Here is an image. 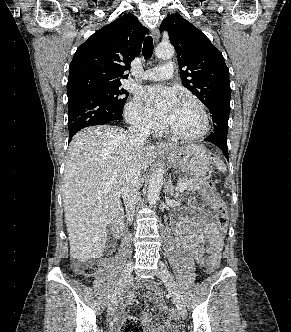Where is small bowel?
<instances>
[{
	"label": "small bowel",
	"mask_w": 291,
	"mask_h": 332,
	"mask_svg": "<svg viewBox=\"0 0 291 332\" xmlns=\"http://www.w3.org/2000/svg\"><path fill=\"white\" fill-rule=\"evenodd\" d=\"M224 231L219 228L210 216L203 214L193 220H181L176 227V242L178 246L183 249L186 254L192 259L203 262L207 254L218 256L223 244ZM207 241L208 246L203 243ZM133 292L129 293V298L132 299ZM147 298L158 304L161 311L168 309L165 302L161 299L160 292L154 286L149 288ZM139 320L143 324L149 323V316L142 313ZM172 323L168 320L162 324L152 328L149 332H171Z\"/></svg>",
	"instance_id": "small-bowel-1"
}]
</instances>
